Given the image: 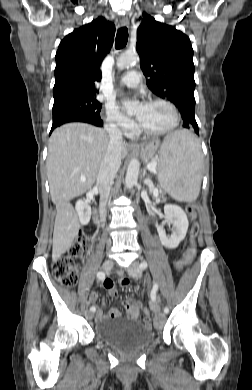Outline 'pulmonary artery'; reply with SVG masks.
Instances as JSON below:
<instances>
[{
    "mask_svg": "<svg viewBox=\"0 0 252 390\" xmlns=\"http://www.w3.org/2000/svg\"><path fill=\"white\" fill-rule=\"evenodd\" d=\"M122 86L135 88L140 84V73L136 70L127 72L120 80Z\"/></svg>",
    "mask_w": 252,
    "mask_h": 390,
    "instance_id": "1",
    "label": "pulmonary artery"
}]
</instances>
